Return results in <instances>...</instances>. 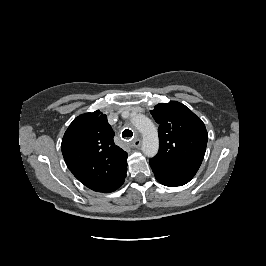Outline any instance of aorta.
<instances>
[{
	"label": "aorta",
	"instance_id": "aorta-1",
	"mask_svg": "<svg viewBox=\"0 0 266 266\" xmlns=\"http://www.w3.org/2000/svg\"><path fill=\"white\" fill-rule=\"evenodd\" d=\"M132 124L142 134V151L147 157H154L159 149L158 132L153 122L143 114H134Z\"/></svg>",
	"mask_w": 266,
	"mask_h": 266
}]
</instances>
